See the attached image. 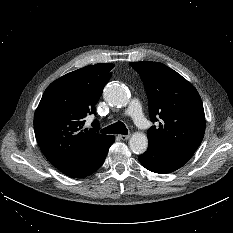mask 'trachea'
Returning <instances> with one entry per match:
<instances>
[{
  "instance_id": "1",
  "label": "trachea",
  "mask_w": 233,
  "mask_h": 233,
  "mask_svg": "<svg viewBox=\"0 0 233 233\" xmlns=\"http://www.w3.org/2000/svg\"><path fill=\"white\" fill-rule=\"evenodd\" d=\"M104 134H123L127 135L128 130L123 122L118 121L112 125H109L108 127L101 130Z\"/></svg>"
}]
</instances>
